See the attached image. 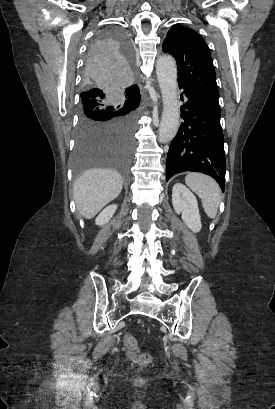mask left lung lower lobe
I'll list each match as a JSON object with an SVG mask.
<instances>
[{"mask_svg":"<svg viewBox=\"0 0 275 409\" xmlns=\"http://www.w3.org/2000/svg\"><path fill=\"white\" fill-rule=\"evenodd\" d=\"M178 85L184 89L180 96L184 122L168 151L166 181L180 172H202L212 176L224 191L226 161L219 96L189 84Z\"/></svg>","mask_w":275,"mask_h":409,"instance_id":"1","label":"left lung lower lobe"}]
</instances>
